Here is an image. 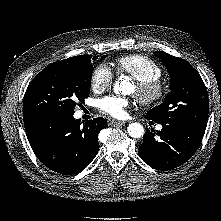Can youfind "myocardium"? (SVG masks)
Returning <instances> with one entry per match:
<instances>
[{
  "mask_svg": "<svg viewBox=\"0 0 221 221\" xmlns=\"http://www.w3.org/2000/svg\"><path fill=\"white\" fill-rule=\"evenodd\" d=\"M167 89L160 80L137 82L136 98L146 107L159 104L166 96Z\"/></svg>",
  "mask_w": 221,
  "mask_h": 221,
  "instance_id": "1",
  "label": "myocardium"
}]
</instances>
